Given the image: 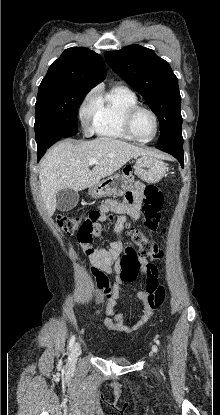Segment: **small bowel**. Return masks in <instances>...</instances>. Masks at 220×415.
<instances>
[{
	"label": "small bowel",
	"instance_id": "obj_1",
	"mask_svg": "<svg viewBox=\"0 0 220 415\" xmlns=\"http://www.w3.org/2000/svg\"><path fill=\"white\" fill-rule=\"evenodd\" d=\"M142 205V189L137 186L135 190L128 191L122 202L118 204H111L109 202L102 203L95 213L96 219L89 225L91 230V238L87 240L84 232L79 231L77 233L78 244L85 249L91 262V273L95 278L99 290L95 293V299L98 303H105L106 317L103 320V324L106 328L124 332L126 334H133L137 332L141 327L149 322L155 312L160 308H154L148 303L147 293L142 291L138 298L142 306V314L140 318L132 325L125 323L124 315L116 313V301L119 297L120 287L122 284L120 278L121 266H120V254L123 249L122 243V231L123 226L128 216L138 220L140 217V209ZM114 212L119 214L114 227V232L117 240L112 241L108 247L100 248L95 243V238L102 233V223L106 220V214ZM141 270L147 273L148 262L141 260ZM107 275H113L114 281L110 283L107 279ZM97 311L96 314H100Z\"/></svg>",
	"mask_w": 220,
	"mask_h": 415
}]
</instances>
